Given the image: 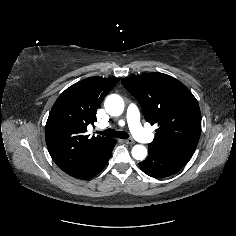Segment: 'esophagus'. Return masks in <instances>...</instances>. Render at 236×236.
<instances>
[{
	"label": "esophagus",
	"instance_id": "1",
	"mask_svg": "<svg viewBox=\"0 0 236 236\" xmlns=\"http://www.w3.org/2000/svg\"><path fill=\"white\" fill-rule=\"evenodd\" d=\"M124 142L129 145H133L135 143V141L131 138L124 140Z\"/></svg>",
	"mask_w": 236,
	"mask_h": 236
}]
</instances>
